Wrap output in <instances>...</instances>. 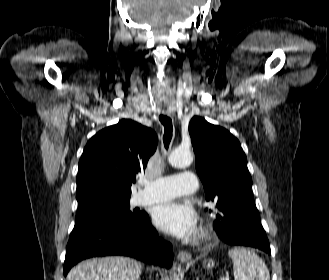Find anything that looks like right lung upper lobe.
<instances>
[{"instance_id":"cb5924a9","label":"right lung upper lobe","mask_w":329,"mask_h":280,"mask_svg":"<svg viewBox=\"0 0 329 280\" xmlns=\"http://www.w3.org/2000/svg\"><path fill=\"white\" fill-rule=\"evenodd\" d=\"M155 132L123 119L94 135L79 161L77 199L93 195L130 198L131 185L155 152Z\"/></svg>"}]
</instances>
